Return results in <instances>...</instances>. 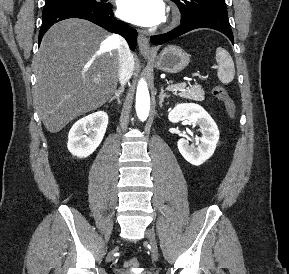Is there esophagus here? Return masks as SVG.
Returning a JSON list of instances; mask_svg holds the SVG:
<instances>
[{
    "instance_id": "obj_1",
    "label": "esophagus",
    "mask_w": 289,
    "mask_h": 274,
    "mask_svg": "<svg viewBox=\"0 0 289 274\" xmlns=\"http://www.w3.org/2000/svg\"><path fill=\"white\" fill-rule=\"evenodd\" d=\"M138 47L143 55H150L152 53V49L149 44V39L143 33H139L138 35Z\"/></svg>"
}]
</instances>
